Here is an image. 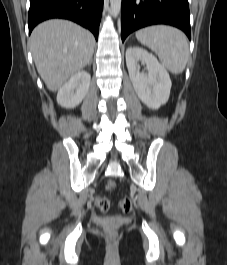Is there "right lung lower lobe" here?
Instances as JSON below:
<instances>
[{"mask_svg": "<svg viewBox=\"0 0 227 265\" xmlns=\"http://www.w3.org/2000/svg\"><path fill=\"white\" fill-rule=\"evenodd\" d=\"M102 8L103 0H30L29 33L46 19L64 18L89 29L97 40Z\"/></svg>", "mask_w": 227, "mask_h": 265, "instance_id": "obj_1", "label": "right lung lower lobe"}]
</instances>
